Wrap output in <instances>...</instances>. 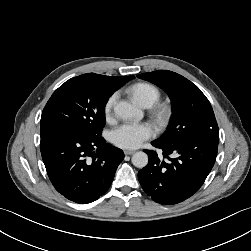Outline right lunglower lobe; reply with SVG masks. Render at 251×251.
Returning a JSON list of instances; mask_svg holds the SVG:
<instances>
[{
    "label": "right lung lower lobe",
    "mask_w": 251,
    "mask_h": 251,
    "mask_svg": "<svg viewBox=\"0 0 251 251\" xmlns=\"http://www.w3.org/2000/svg\"><path fill=\"white\" fill-rule=\"evenodd\" d=\"M40 150L55 189L82 204L97 200L108 190L124 159L123 151L103 137L63 128L41 131Z\"/></svg>",
    "instance_id": "98d812e1"
}]
</instances>
